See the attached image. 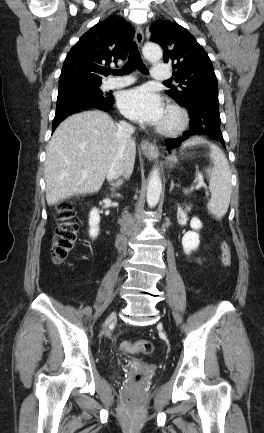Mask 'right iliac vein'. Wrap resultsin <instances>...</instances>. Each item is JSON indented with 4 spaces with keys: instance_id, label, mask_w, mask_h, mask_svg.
Returning a JSON list of instances; mask_svg holds the SVG:
<instances>
[{
    "instance_id": "right-iliac-vein-1",
    "label": "right iliac vein",
    "mask_w": 264,
    "mask_h": 433,
    "mask_svg": "<svg viewBox=\"0 0 264 433\" xmlns=\"http://www.w3.org/2000/svg\"><path fill=\"white\" fill-rule=\"evenodd\" d=\"M115 319V312L111 313L110 316L108 317V319L106 320L105 324H104V330H106L107 326L109 325V323Z\"/></svg>"
}]
</instances>
